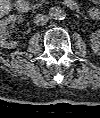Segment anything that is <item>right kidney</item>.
<instances>
[{"label": "right kidney", "mask_w": 100, "mask_h": 118, "mask_svg": "<svg viewBox=\"0 0 100 118\" xmlns=\"http://www.w3.org/2000/svg\"><path fill=\"white\" fill-rule=\"evenodd\" d=\"M22 23L23 18L17 15H9L8 17H5L4 19L0 20V46L2 48H7V49H14L17 46L16 41H8V25L12 23Z\"/></svg>", "instance_id": "right-kidney-1"}]
</instances>
